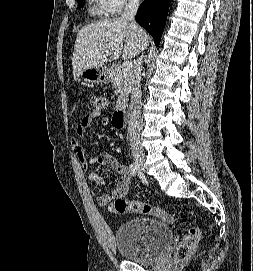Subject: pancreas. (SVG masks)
<instances>
[{
	"instance_id": "1",
	"label": "pancreas",
	"mask_w": 253,
	"mask_h": 271,
	"mask_svg": "<svg viewBox=\"0 0 253 271\" xmlns=\"http://www.w3.org/2000/svg\"><path fill=\"white\" fill-rule=\"evenodd\" d=\"M109 76L111 84L116 88L119 94L116 108H124L127 104L132 85L134 84L135 75L132 71H121L119 65H113L110 69Z\"/></svg>"
}]
</instances>
